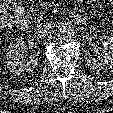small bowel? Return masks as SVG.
I'll return each mask as SVG.
<instances>
[{
  "mask_svg": "<svg viewBox=\"0 0 113 113\" xmlns=\"http://www.w3.org/2000/svg\"><path fill=\"white\" fill-rule=\"evenodd\" d=\"M110 1V4L113 6V0H109Z\"/></svg>",
  "mask_w": 113,
  "mask_h": 113,
  "instance_id": "small-bowel-1",
  "label": "small bowel"
}]
</instances>
